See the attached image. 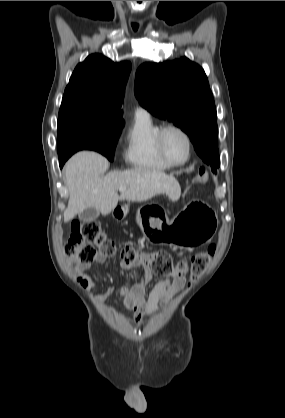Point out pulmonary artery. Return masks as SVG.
<instances>
[{"label": "pulmonary artery", "mask_w": 285, "mask_h": 418, "mask_svg": "<svg viewBox=\"0 0 285 418\" xmlns=\"http://www.w3.org/2000/svg\"><path fill=\"white\" fill-rule=\"evenodd\" d=\"M149 113L147 110L139 108L135 111V118L147 117Z\"/></svg>", "instance_id": "1"}]
</instances>
